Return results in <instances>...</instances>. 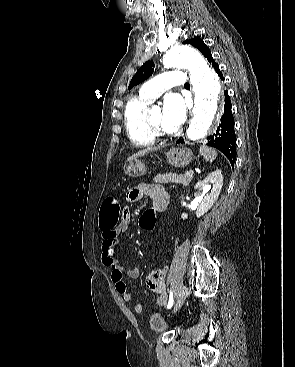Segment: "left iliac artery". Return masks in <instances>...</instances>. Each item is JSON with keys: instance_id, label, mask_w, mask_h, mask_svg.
<instances>
[{"instance_id": "44dca946", "label": "left iliac artery", "mask_w": 295, "mask_h": 367, "mask_svg": "<svg viewBox=\"0 0 295 367\" xmlns=\"http://www.w3.org/2000/svg\"><path fill=\"white\" fill-rule=\"evenodd\" d=\"M173 292L170 291V295H169V301H168V305L167 308L170 309L173 306Z\"/></svg>"}]
</instances>
